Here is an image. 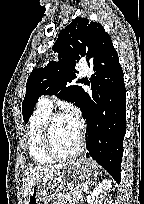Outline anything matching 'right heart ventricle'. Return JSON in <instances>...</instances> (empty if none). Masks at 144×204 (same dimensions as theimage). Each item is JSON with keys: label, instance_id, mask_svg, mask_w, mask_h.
Listing matches in <instances>:
<instances>
[{"label": "right heart ventricle", "instance_id": "right-heart-ventricle-1", "mask_svg": "<svg viewBox=\"0 0 144 204\" xmlns=\"http://www.w3.org/2000/svg\"><path fill=\"white\" fill-rule=\"evenodd\" d=\"M50 114L51 109L38 104L29 119L27 127L29 155L31 160L38 165L50 164L55 160L47 154L43 146V130Z\"/></svg>", "mask_w": 144, "mask_h": 204}]
</instances>
